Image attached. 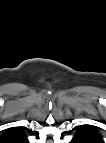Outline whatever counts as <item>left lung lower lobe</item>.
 I'll return each mask as SVG.
<instances>
[{
  "instance_id": "1",
  "label": "left lung lower lobe",
  "mask_w": 106,
  "mask_h": 143,
  "mask_svg": "<svg viewBox=\"0 0 106 143\" xmlns=\"http://www.w3.org/2000/svg\"><path fill=\"white\" fill-rule=\"evenodd\" d=\"M71 143H87V142L83 138H81L79 135L76 134L71 140Z\"/></svg>"
}]
</instances>
